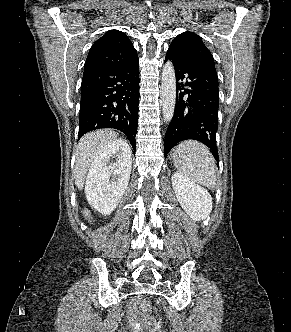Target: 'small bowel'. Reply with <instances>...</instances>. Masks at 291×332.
Listing matches in <instances>:
<instances>
[{
  "label": "small bowel",
  "instance_id": "small-bowel-1",
  "mask_svg": "<svg viewBox=\"0 0 291 332\" xmlns=\"http://www.w3.org/2000/svg\"><path fill=\"white\" fill-rule=\"evenodd\" d=\"M132 317H133V320L136 321V322H147V321H149V318H147L146 316L142 315L141 313H139L135 309L132 312Z\"/></svg>",
  "mask_w": 291,
  "mask_h": 332
}]
</instances>
